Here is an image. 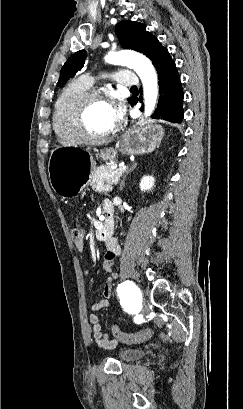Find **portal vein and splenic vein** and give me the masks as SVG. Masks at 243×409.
Returning a JSON list of instances; mask_svg holds the SVG:
<instances>
[{"label": "portal vein and splenic vein", "instance_id": "obj_1", "mask_svg": "<svg viewBox=\"0 0 243 409\" xmlns=\"http://www.w3.org/2000/svg\"><path fill=\"white\" fill-rule=\"evenodd\" d=\"M128 167L127 166H122L120 168L117 169V173H122L124 172Z\"/></svg>", "mask_w": 243, "mask_h": 409}]
</instances>
